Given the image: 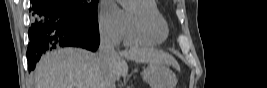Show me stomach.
Here are the masks:
<instances>
[{
  "label": "stomach",
  "instance_id": "0dacf381",
  "mask_svg": "<svg viewBox=\"0 0 267 88\" xmlns=\"http://www.w3.org/2000/svg\"><path fill=\"white\" fill-rule=\"evenodd\" d=\"M141 75L151 88H174L176 84L174 73L160 64L149 63Z\"/></svg>",
  "mask_w": 267,
  "mask_h": 88
}]
</instances>
